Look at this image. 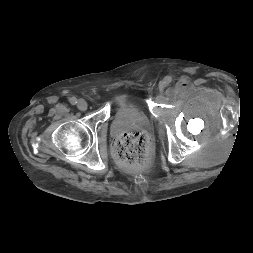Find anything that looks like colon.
I'll return each mask as SVG.
<instances>
[{"mask_svg":"<svg viewBox=\"0 0 253 253\" xmlns=\"http://www.w3.org/2000/svg\"><path fill=\"white\" fill-rule=\"evenodd\" d=\"M116 161L123 167L137 169L145 165L149 153V138L141 131L121 133L112 145Z\"/></svg>","mask_w":253,"mask_h":253,"instance_id":"obj_1","label":"colon"}]
</instances>
